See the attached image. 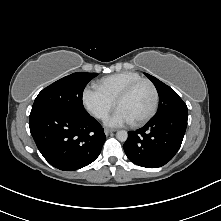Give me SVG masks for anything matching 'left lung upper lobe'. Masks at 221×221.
<instances>
[{
    "label": "left lung upper lobe",
    "mask_w": 221,
    "mask_h": 221,
    "mask_svg": "<svg viewBox=\"0 0 221 221\" xmlns=\"http://www.w3.org/2000/svg\"><path fill=\"white\" fill-rule=\"evenodd\" d=\"M145 75L153 82L159 95V107L153 119H158L173 112L188 111L186 104L172 88L154 76L147 73Z\"/></svg>",
    "instance_id": "5c2ea615"
}]
</instances>
